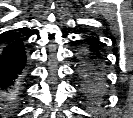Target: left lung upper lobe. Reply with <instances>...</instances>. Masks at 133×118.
<instances>
[{
	"label": "left lung upper lobe",
	"mask_w": 133,
	"mask_h": 118,
	"mask_svg": "<svg viewBox=\"0 0 133 118\" xmlns=\"http://www.w3.org/2000/svg\"><path fill=\"white\" fill-rule=\"evenodd\" d=\"M83 95L85 97V100L88 102V104L92 106H101L104 101V97L96 94L93 91H90L89 89H83Z\"/></svg>",
	"instance_id": "left-lung-upper-lobe-1"
}]
</instances>
